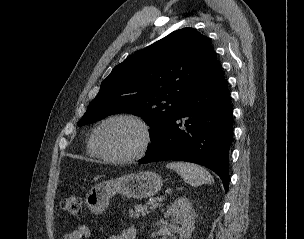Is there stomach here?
Returning a JSON list of instances; mask_svg holds the SVG:
<instances>
[{"mask_svg": "<svg viewBox=\"0 0 304 239\" xmlns=\"http://www.w3.org/2000/svg\"><path fill=\"white\" fill-rule=\"evenodd\" d=\"M162 186V178L153 171L126 174L97 184L86 194V205L94 214L103 213L110 198L121 194L129 198H147L156 194Z\"/></svg>", "mask_w": 304, "mask_h": 239, "instance_id": "1", "label": "stomach"}]
</instances>
